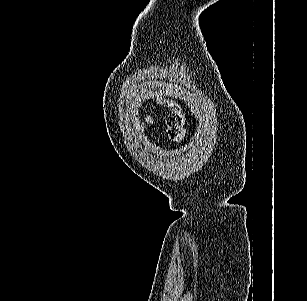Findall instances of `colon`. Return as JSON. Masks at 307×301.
<instances>
[{"mask_svg":"<svg viewBox=\"0 0 307 301\" xmlns=\"http://www.w3.org/2000/svg\"><path fill=\"white\" fill-rule=\"evenodd\" d=\"M171 112L166 117V133L170 140L180 141L184 137V124L185 118L182 109L175 105L170 104Z\"/></svg>","mask_w":307,"mask_h":301,"instance_id":"1","label":"colon"}]
</instances>
